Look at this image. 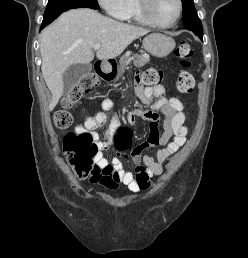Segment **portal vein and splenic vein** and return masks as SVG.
Wrapping results in <instances>:
<instances>
[{"mask_svg":"<svg viewBox=\"0 0 248 258\" xmlns=\"http://www.w3.org/2000/svg\"><path fill=\"white\" fill-rule=\"evenodd\" d=\"M100 47H101L100 44H95L93 48H94L95 50H98V49H100ZM132 59H133V57L127 62V64H129V62H130Z\"/></svg>","mask_w":248,"mask_h":258,"instance_id":"portal-vein-and-splenic-vein-1","label":"portal vein and splenic vein"}]
</instances>
